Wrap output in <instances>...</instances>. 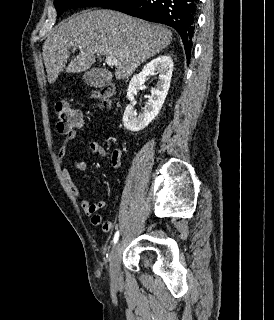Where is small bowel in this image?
Masks as SVG:
<instances>
[{"mask_svg": "<svg viewBox=\"0 0 274 320\" xmlns=\"http://www.w3.org/2000/svg\"><path fill=\"white\" fill-rule=\"evenodd\" d=\"M77 124L78 131H87V119H78ZM77 134L78 132L76 129L65 133L63 142L57 152L58 163L62 169L63 176L69 186L71 193L80 200L81 208L84 214L90 217L91 223L95 226L103 224V228L104 226L109 225V227L111 228L112 223L110 221L104 222L103 216L99 213V211H101L105 207V202L103 200L90 202L83 189L78 186L71 171L65 166V158L68 153L69 144L76 139ZM88 147L93 153H96L101 157H105L107 155L106 149L96 141H89ZM122 161V150L114 149L110 155V162L115 172L120 171V169L122 168ZM73 166L79 171H85L88 168V164L85 161L79 160L77 158L73 159Z\"/></svg>", "mask_w": 274, "mask_h": 320, "instance_id": "c3829d8e", "label": "small bowel"}]
</instances>
